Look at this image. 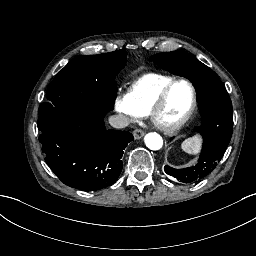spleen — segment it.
<instances>
[{
	"instance_id": "1",
	"label": "spleen",
	"mask_w": 256,
	"mask_h": 256,
	"mask_svg": "<svg viewBox=\"0 0 256 256\" xmlns=\"http://www.w3.org/2000/svg\"><path fill=\"white\" fill-rule=\"evenodd\" d=\"M201 146L202 138L199 134L185 139L181 144L182 150L191 155H198L201 151Z\"/></svg>"
}]
</instances>
